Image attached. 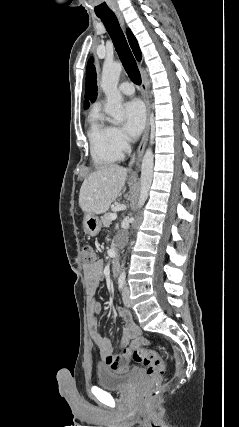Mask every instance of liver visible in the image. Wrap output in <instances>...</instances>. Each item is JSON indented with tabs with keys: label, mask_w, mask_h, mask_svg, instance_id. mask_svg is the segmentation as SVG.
<instances>
[{
	"label": "liver",
	"mask_w": 239,
	"mask_h": 427,
	"mask_svg": "<svg viewBox=\"0 0 239 427\" xmlns=\"http://www.w3.org/2000/svg\"><path fill=\"white\" fill-rule=\"evenodd\" d=\"M127 178V170L117 164L102 166L82 183L79 206L86 213L102 214L119 196Z\"/></svg>",
	"instance_id": "liver-1"
}]
</instances>
